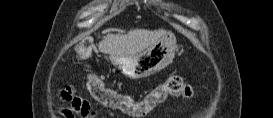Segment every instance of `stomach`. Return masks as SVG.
Masks as SVG:
<instances>
[{"label": "stomach", "instance_id": "stomach-1", "mask_svg": "<svg viewBox=\"0 0 273 118\" xmlns=\"http://www.w3.org/2000/svg\"><path fill=\"white\" fill-rule=\"evenodd\" d=\"M176 37L167 33L146 50L135 55H112L110 60L131 79L148 77L167 67L175 57Z\"/></svg>", "mask_w": 273, "mask_h": 118}]
</instances>
